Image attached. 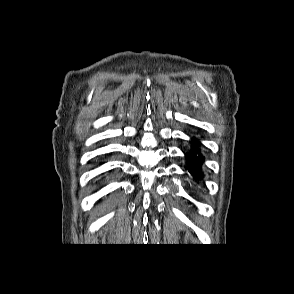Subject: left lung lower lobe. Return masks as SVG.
<instances>
[{
    "mask_svg": "<svg viewBox=\"0 0 294 294\" xmlns=\"http://www.w3.org/2000/svg\"><path fill=\"white\" fill-rule=\"evenodd\" d=\"M188 171L194 176V178L201 177L200 167L203 162V156L197 153L196 149L192 150L187 156Z\"/></svg>",
    "mask_w": 294,
    "mask_h": 294,
    "instance_id": "obj_1",
    "label": "left lung lower lobe"
}]
</instances>
